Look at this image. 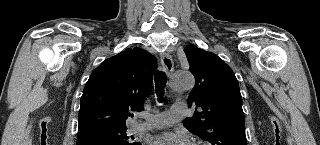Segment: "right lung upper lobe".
<instances>
[{
    "label": "right lung upper lobe",
    "instance_id": "1",
    "mask_svg": "<svg viewBox=\"0 0 320 145\" xmlns=\"http://www.w3.org/2000/svg\"><path fill=\"white\" fill-rule=\"evenodd\" d=\"M157 59L133 48L106 59L83 90L78 136L104 128L126 127L131 111H141L149 94Z\"/></svg>",
    "mask_w": 320,
    "mask_h": 145
}]
</instances>
